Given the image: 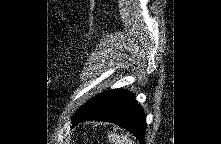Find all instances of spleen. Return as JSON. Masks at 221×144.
Here are the masks:
<instances>
[{
  "instance_id": "1",
  "label": "spleen",
  "mask_w": 221,
  "mask_h": 144,
  "mask_svg": "<svg viewBox=\"0 0 221 144\" xmlns=\"http://www.w3.org/2000/svg\"><path fill=\"white\" fill-rule=\"evenodd\" d=\"M108 140L110 144H134V141L128 138L126 135H120L118 133H109Z\"/></svg>"
}]
</instances>
